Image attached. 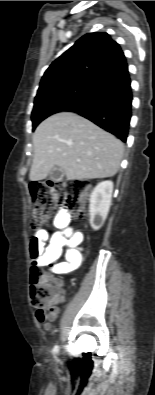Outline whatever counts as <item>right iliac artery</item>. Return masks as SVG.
<instances>
[{"label": "right iliac artery", "mask_w": 155, "mask_h": 395, "mask_svg": "<svg viewBox=\"0 0 155 395\" xmlns=\"http://www.w3.org/2000/svg\"><path fill=\"white\" fill-rule=\"evenodd\" d=\"M58 350H59V346H58V345H55L54 351H55V352H58Z\"/></svg>", "instance_id": "82829eb1"}]
</instances>
